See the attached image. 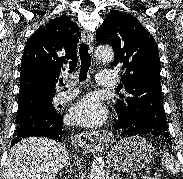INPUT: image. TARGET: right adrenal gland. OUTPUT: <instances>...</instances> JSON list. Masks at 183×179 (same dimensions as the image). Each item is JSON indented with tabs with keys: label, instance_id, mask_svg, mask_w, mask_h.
<instances>
[{
	"label": "right adrenal gland",
	"instance_id": "right-adrenal-gland-1",
	"mask_svg": "<svg viewBox=\"0 0 183 179\" xmlns=\"http://www.w3.org/2000/svg\"><path fill=\"white\" fill-rule=\"evenodd\" d=\"M66 172H73V169H72V165H71V163H70V161L67 163V165H66Z\"/></svg>",
	"mask_w": 183,
	"mask_h": 179
}]
</instances>
